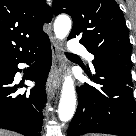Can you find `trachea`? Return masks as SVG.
Masks as SVG:
<instances>
[{"label": "trachea", "instance_id": "3493384b", "mask_svg": "<svg viewBox=\"0 0 136 136\" xmlns=\"http://www.w3.org/2000/svg\"><path fill=\"white\" fill-rule=\"evenodd\" d=\"M68 56H75L74 54L72 53H66Z\"/></svg>", "mask_w": 136, "mask_h": 136}]
</instances>
